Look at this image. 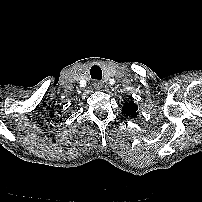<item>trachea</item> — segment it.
Instances as JSON below:
<instances>
[{
  "label": "trachea",
  "instance_id": "trachea-1",
  "mask_svg": "<svg viewBox=\"0 0 202 202\" xmlns=\"http://www.w3.org/2000/svg\"><path fill=\"white\" fill-rule=\"evenodd\" d=\"M90 75L92 79L101 80L102 79V70L99 66L94 65L91 67Z\"/></svg>",
  "mask_w": 202,
  "mask_h": 202
}]
</instances>
